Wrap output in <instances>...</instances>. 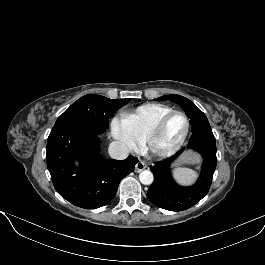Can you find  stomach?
<instances>
[{
    "instance_id": "obj_1",
    "label": "stomach",
    "mask_w": 265,
    "mask_h": 265,
    "mask_svg": "<svg viewBox=\"0 0 265 265\" xmlns=\"http://www.w3.org/2000/svg\"><path fill=\"white\" fill-rule=\"evenodd\" d=\"M198 162V157L194 154H187L182 157L180 163L181 164H195Z\"/></svg>"
}]
</instances>
